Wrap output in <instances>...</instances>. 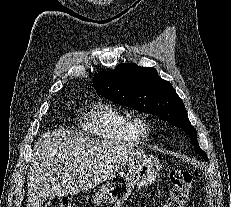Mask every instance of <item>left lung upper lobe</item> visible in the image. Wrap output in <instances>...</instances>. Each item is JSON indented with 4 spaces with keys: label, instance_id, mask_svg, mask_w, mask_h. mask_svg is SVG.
Masks as SVG:
<instances>
[{
    "label": "left lung upper lobe",
    "instance_id": "obj_1",
    "mask_svg": "<svg viewBox=\"0 0 231 207\" xmlns=\"http://www.w3.org/2000/svg\"><path fill=\"white\" fill-rule=\"evenodd\" d=\"M93 87L117 104L155 114L181 128L189 135L195 151L208 160L199 147L196 129L188 119L183 101L172 85L159 77L155 68L121 64L115 70L95 75Z\"/></svg>",
    "mask_w": 231,
    "mask_h": 207
}]
</instances>
